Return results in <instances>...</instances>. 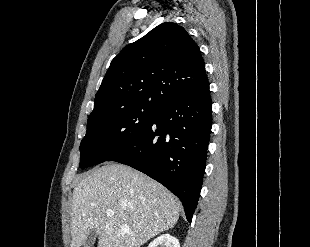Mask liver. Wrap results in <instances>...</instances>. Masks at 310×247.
Here are the masks:
<instances>
[{"mask_svg":"<svg viewBox=\"0 0 310 247\" xmlns=\"http://www.w3.org/2000/svg\"><path fill=\"white\" fill-rule=\"evenodd\" d=\"M72 204L71 247H80L92 230L98 247H140L172 228L181 209L180 201L164 186L117 163L84 176L73 190ZM107 210L114 215L108 217Z\"/></svg>","mask_w":310,"mask_h":247,"instance_id":"obj_1","label":"liver"}]
</instances>
